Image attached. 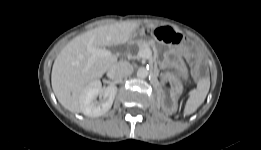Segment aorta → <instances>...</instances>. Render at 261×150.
I'll return each instance as SVG.
<instances>
[{
	"instance_id": "762f6f07",
	"label": "aorta",
	"mask_w": 261,
	"mask_h": 150,
	"mask_svg": "<svg viewBox=\"0 0 261 150\" xmlns=\"http://www.w3.org/2000/svg\"><path fill=\"white\" fill-rule=\"evenodd\" d=\"M149 74H150V71L144 67L139 68L137 71V77L141 78V79L146 78Z\"/></svg>"
}]
</instances>
